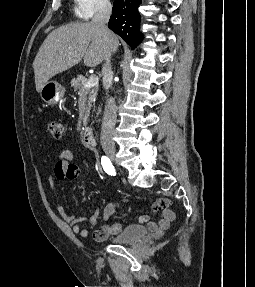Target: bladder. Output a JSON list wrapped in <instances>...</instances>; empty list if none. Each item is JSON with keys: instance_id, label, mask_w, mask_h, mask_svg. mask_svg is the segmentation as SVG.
<instances>
[{"instance_id": "31cf9c89", "label": "bladder", "mask_w": 255, "mask_h": 287, "mask_svg": "<svg viewBox=\"0 0 255 287\" xmlns=\"http://www.w3.org/2000/svg\"><path fill=\"white\" fill-rule=\"evenodd\" d=\"M148 233V229L142 225L130 224L123 227L117 234L108 238L114 244H128L142 239Z\"/></svg>"}]
</instances>
